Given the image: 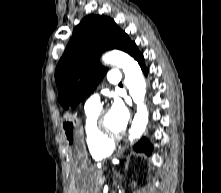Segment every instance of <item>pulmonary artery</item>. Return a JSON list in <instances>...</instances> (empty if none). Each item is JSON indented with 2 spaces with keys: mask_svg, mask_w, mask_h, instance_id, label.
<instances>
[{
  "mask_svg": "<svg viewBox=\"0 0 221 193\" xmlns=\"http://www.w3.org/2000/svg\"><path fill=\"white\" fill-rule=\"evenodd\" d=\"M108 82L111 85L117 86L121 81V75L118 70H111L107 75ZM101 107L100 104V96L95 93L91 95L88 100L85 102V111L86 112H94L99 111Z\"/></svg>",
  "mask_w": 221,
  "mask_h": 193,
  "instance_id": "e3ab8cb5",
  "label": "pulmonary artery"
}]
</instances>
